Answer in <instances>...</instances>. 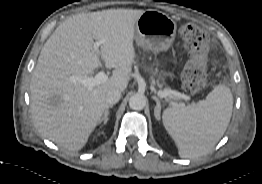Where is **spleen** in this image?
<instances>
[{
    "label": "spleen",
    "mask_w": 262,
    "mask_h": 184,
    "mask_svg": "<svg viewBox=\"0 0 262 184\" xmlns=\"http://www.w3.org/2000/svg\"><path fill=\"white\" fill-rule=\"evenodd\" d=\"M233 109L230 88L219 84L205 100L185 107H168L162 121L181 158L193 159L209 152L226 131Z\"/></svg>",
    "instance_id": "spleen-1"
}]
</instances>
